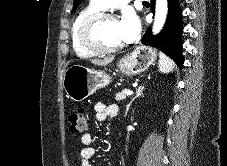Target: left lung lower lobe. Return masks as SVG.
<instances>
[{
  "label": "left lung lower lobe",
  "instance_id": "0a47b994",
  "mask_svg": "<svg viewBox=\"0 0 227 166\" xmlns=\"http://www.w3.org/2000/svg\"><path fill=\"white\" fill-rule=\"evenodd\" d=\"M155 0H151V9L154 12ZM168 16L163 30L156 36L148 29L142 38V43L160 49L169 55L182 68V21L181 8L178 0H168Z\"/></svg>",
  "mask_w": 227,
  "mask_h": 166
}]
</instances>
